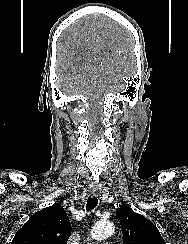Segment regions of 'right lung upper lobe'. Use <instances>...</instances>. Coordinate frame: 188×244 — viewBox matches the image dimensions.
<instances>
[{
    "label": "right lung upper lobe",
    "instance_id": "right-lung-upper-lobe-1",
    "mask_svg": "<svg viewBox=\"0 0 188 244\" xmlns=\"http://www.w3.org/2000/svg\"><path fill=\"white\" fill-rule=\"evenodd\" d=\"M70 234V220L64 208L55 203L33 214L11 244H65Z\"/></svg>",
    "mask_w": 188,
    "mask_h": 244
}]
</instances>
